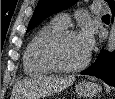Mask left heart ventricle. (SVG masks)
I'll list each match as a JSON object with an SVG mask.
<instances>
[{"mask_svg": "<svg viewBox=\"0 0 115 99\" xmlns=\"http://www.w3.org/2000/svg\"><path fill=\"white\" fill-rule=\"evenodd\" d=\"M87 53L84 50L78 35L63 40L57 48L59 61L67 66H75L83 62Z\"/></svg>", "mask_w": 115, "mask_h": 99, "instance_id": "obj_1", "label": "left heart ventricle"}]
</instances>
